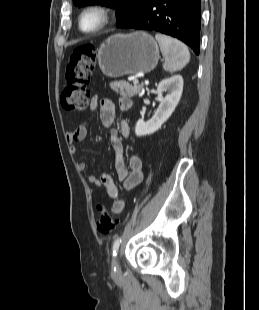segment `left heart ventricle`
<instances>
[{"label": "left heart ventricle", "mask_w": 259, "mask_h": 310, "mask_svg": "<svg viewBox=\"0 0 259 310\" xmlns=\"http://www.w3.org/2000/svg\"><path fill=\"white\" fill-rule=\"evenodd\" d=\"M100 22V16L97 13H90L84 17L83 26L85 29H92Z\"/></svg>", "instance_id": "b2bd125f"}]
</instances>
